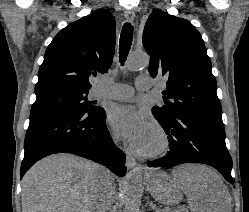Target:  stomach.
<instances>
[{
    "instance_id": "1",
    "label": "stomach",
    "mask_w": 249,
    "mask_h": 212,
    "mask_svg": "<svg viewBox=\"0 0 249 212\" xmlns=\"http://www.w3.org/2000/svg\"><path fill=\"white\" fill-rule=\"evenodd\" d=\"M145 184H149L147 193H155V198H179L181 184H172L169 170H152V175H145ZM160 204H178V199H160Z\"/></svg>"
}]
</instances>
